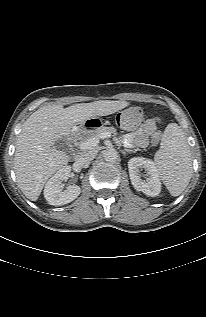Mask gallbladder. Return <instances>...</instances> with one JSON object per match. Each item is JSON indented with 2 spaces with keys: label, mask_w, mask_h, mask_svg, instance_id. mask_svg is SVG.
<instances>
[{
  "label": "gallbladder",
  "mask_w": 206,
  "mask_h": 317,
  "mask_svg": "<svg viewBox=\"0 0 206 317\" xmlns=\"http://www.w3.org/2000/svg\"><path fill=\"white\" fill-rule=\"evenodd\" d=\"M53 147L55 149L61 150L63 152H68L70 149L68 143L64 139H60V140L56 141L55 144L53 145Z\"/></svg>",
  "instance_id": "gallbladder-1"
}]
</instances>
